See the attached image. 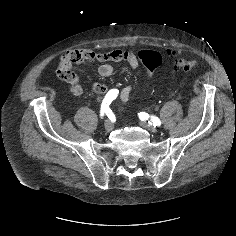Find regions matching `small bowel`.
Here are the masks:
<instances>
[{
  "label": "small bowel",
  "mask_w": 236,
  "mask_h": 236,
  "mask_svg": "<svg viewBox=\"0 0 236 236\" xmlns=\"http://www.w3.org/2000/svg\"><path fill=\"white\" fill-rule=\"evenodd\" d=\"M62 60H68L70 62V67L62 79L68 83L70 92L76 96L83 93V86L81 85L77 75L72 71L74 65L100 62L101 64L98 68V72L103 77H109L113 74L114 67L112 63L126 62L133 70L139 67V59L137 55L132 51L122 50L98 52L89 48H78L66 52ZM91 88L96 94H103L107 89L106 85L102 83H93ZM132 93V85H126L121 90V98L124 101H127L130 99Z\"/></svg>",
  "instance_id": "small-bowel-1"
}]
</instances>
